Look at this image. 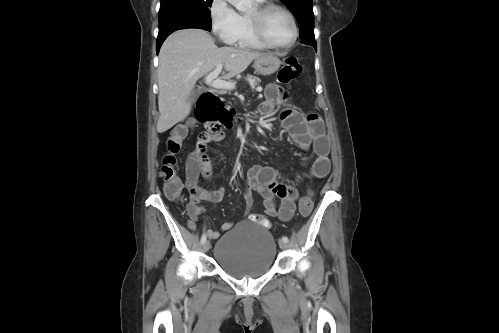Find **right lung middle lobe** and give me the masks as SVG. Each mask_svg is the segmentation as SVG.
Wrapping results in <instances>:
<instances>
[{
    "label": "right lung middle lobe",
    "instance_id": "obj_1",
    "mask_svg": "<svg viewBox=\"0 0 499 333\" xmlns=\"http://www.w3.org/2000/svg\"><path fill=\"white\" fill-rule=\"evenodd\" d=\"M213 0H161L159 34L178 29L211 30L210 7Z\"/></svg>",
    "mask_w": 499,
    "mask_h": 333
}]
</instances>
